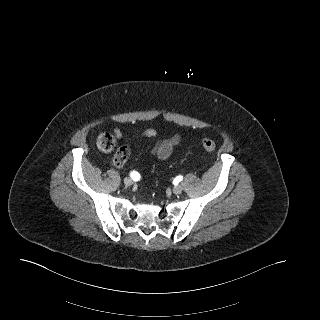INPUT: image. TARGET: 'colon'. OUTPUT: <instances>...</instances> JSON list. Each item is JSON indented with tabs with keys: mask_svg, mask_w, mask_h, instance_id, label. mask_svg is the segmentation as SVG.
I'll use <instances>...</instances> for the list:
<instances>
[{
	"mask_svg": "<svg viewBox=\"0 0 320 320\" xmlns=\"http://www.w3.org/2000/svg\"><path fill=\"white\" fill-rule=\"evenodd\" d=\"M98 146L101 150L105 152H110L115 147V139L109 133H102L97 138ZM203 149L207 152H213L216 149V144L213 140L209 138H204L201 141ZM129 157V152L125 148H120L114 155V164L117 166L123 165Z\"/></svg>",
	"mask_w": 320,
	"mask_h": 320,
	"instance_id": "5ec220e1",
	"label": "colon"
}]
</instances>
